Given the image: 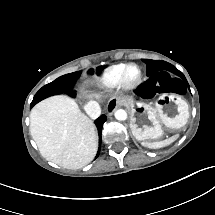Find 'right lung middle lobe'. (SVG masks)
I'll return each instance as SVG.
<instances>
[{
    "mask_svg": "<svg viewBox=\"0 0 215 215\" xmlns=\"http://www.w3.org/2000/svg\"><path fill=\"white\" fill-rule=\"evenodd\" d=\"M80 71L63 75L53 82L43 86L34 96L31 107L39 101L51 95L67 93L70 96H75V91L72 90L75 82L80 77Z\"/></svg>",
    "mask_w": 215,
    "mask_h": 215,
    "instance_id": "right-lung-middle-lobe-1",
    "label": "right lung middle lobe"
}]
</instances>
